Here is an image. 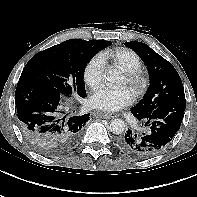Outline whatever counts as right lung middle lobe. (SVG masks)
<instances>
[{
    "mask_svg": "<svg viewBox=\"0 0 197 197\" xmlns=\"http://www.w3.org/2000/svg\"><path fill=\"white\" fill-rule=\"evenodd\" d=\"M111 45L110 41L81 40L62 42L37 53L24 67L21 76L36 78L58 89L63 99L86 97L84 70L92 57Z\"/></svg>",
    "mask_w": 197,
    "mask_h": 197,
    "instance_id": "1",
    "label": "right lung middle lobe"
}]
</instances>
